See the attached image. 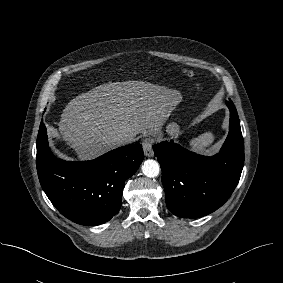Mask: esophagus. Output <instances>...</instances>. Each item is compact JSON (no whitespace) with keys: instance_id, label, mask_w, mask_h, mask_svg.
<instances>
[{"instance_id":"obj_1","label":"esophagus","mask_w":283,"mask_h":283,"mask_svg":"<svg viewBox=\"0 0 283 283\" xmlns=\"http://www.w3.org/2000/svg\"><path fill=\"white\" fill-rule=\"evenodd\" d=\"M153 141L150 138H145L142 142V147L145 156L147 157H153L154 156V151L152 148Z\"/></svg>"}]
</instances>
